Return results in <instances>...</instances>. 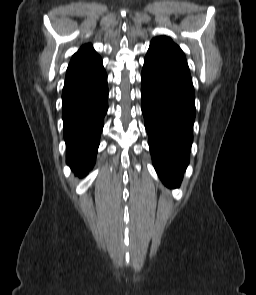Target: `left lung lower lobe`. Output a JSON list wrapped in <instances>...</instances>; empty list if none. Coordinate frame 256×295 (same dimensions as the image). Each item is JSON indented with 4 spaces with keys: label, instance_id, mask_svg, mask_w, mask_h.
<instances>
[{
    "label": "left lung lower lobe",
    "instance_id": "1",
    "mask_svg": "<svg viewBox=\"0 0 256 295\" xmlns=\"http://www.w3.org/2000/svg\"><path fill=\"white\" fill-rule=\"evenodd\" d=\"M141 98L154 168L164 184L177 186L189 164L193 142L192 81L144 64Z\"/></svg>",
    "mask_w": 256,
    "mask_h": 295
}]
</instances>
